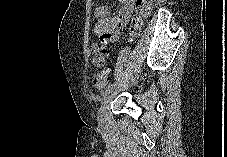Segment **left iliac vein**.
<instances>
[{"mask_svg":"<svg viewBox=\"0 0 227 157\" xmlns=\"http://www.w3.org/2000/svg\"><path fill=\"white\" fill-rule=\"evenodd\" d=\"M129 85L130 84L126 86H129ZM116 94H117V89H112L104 94L100 109L98 111V120L100 122H103L105 120L109 103Z\"/></svg>","mask_w":227,"mask_h":157,"instance_id":"obj_1","label":"left iliac vein"}]
</instances>
